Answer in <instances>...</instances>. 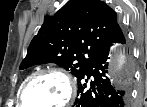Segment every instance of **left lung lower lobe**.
<instances>
[{"label": "left lung lower lobe", "instance_id": "obj_1", "mask_svg": "<svg viewBox=\"0 0 147 107\" xmlns=\"http://www.w3.org/2000/svg\"><path fill=\"white\" fill-rule=\"evenodd\" d=\"M112 43H126L119 24L114 26L106 43L79 76L77 98L72 107H128L131 74L119 85H114L106 76Z\"/></svg>", "mask_w": 147, "mask_h": 107}]
</instances>
